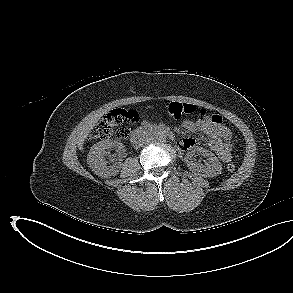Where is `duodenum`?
Masks as SVG:
<instances>
[{
	"mask_svg": "<svg viewBox=\"0 0 293 293\" xmlns=\"http://www.w3.org/2000/svg\"><path fill=\"white\" fill-rule=\"evenodd\" d=\"M150 135H159L168 138H173V134L168 129L162 127L143 126L137 129L131 136V143L134 146H139L142 141ZM179 147V144H178Z\"/></svg>",
	"mask_w": 293,
	"mask_h": 293,
	"instance_id": "duodenum-1",
	"label": "duodenum"
}]
</instances>
